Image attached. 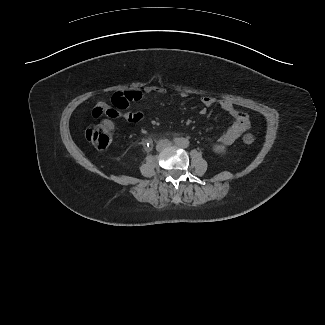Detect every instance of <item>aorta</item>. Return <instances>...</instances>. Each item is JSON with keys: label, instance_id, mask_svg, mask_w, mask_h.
<instances>
[{"label": "aorta", "instance_id": "aorta-1", "mask_svg": "<svg viewBox=\"0 0 325 325\" xmlns=\"http://www.w3.org/2000/svg\"><path fill=\"white\" fill-rule=\"evenodd\" d=\"M177 144L180 146V147H183V148H186L189 146V141L188 139L186 138H179L177 140Z\"/></svg>", "mask_w": 325, "mask_h": 325}]
</instances>
